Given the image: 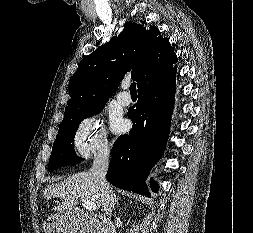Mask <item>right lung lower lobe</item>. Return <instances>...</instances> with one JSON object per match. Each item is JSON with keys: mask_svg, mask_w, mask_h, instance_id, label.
<instances>
[{"mask_svg": "<svg viewBox=\"0 0 253 233\" xmlns=\"http://www.w3.org/2000/svg\"><path fill=\"white\" fill-rule=\"evenodd\" d=\"M176 67L161 73L138 89V102L128 111L133 127L120 136L111 151L107 172L114 186L150 197L146 179L163 153L174 106ZM153 192L158 190L150 183Z\"/></svg>", "mask_w": 253, "mask_h": 233, "instance_id": "right-lung-lower-lobe-1", "label": "right lung lower lobe"}]
</instances>
